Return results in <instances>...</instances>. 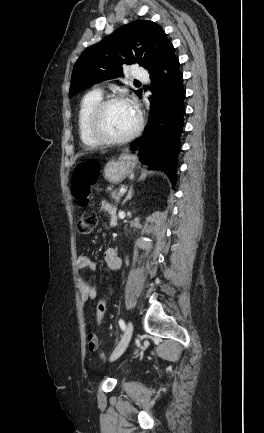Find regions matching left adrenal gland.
<instances>
[{"mask_svg": "<svg viewBox=\"0 0 264 433\" xmlns=\"http://www.w3.org/2000/svg\"><path fill=\"white\" fill-rule=\"evenodd\" d=\"M132 196H133V189H132V185H131V187H130V189H129V191H128V194H127V196H126V198L123 200V202H122V206L128 201V200H130L131 198H132Z\"/></svg>", "mask_w": 264, "mask_h": 433, "instance_id": "a2214340", "label": "left adrenal gland"}]
</instances>
